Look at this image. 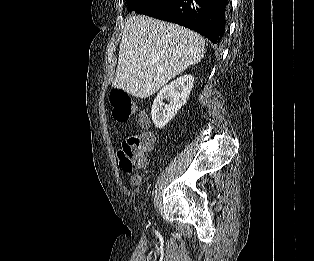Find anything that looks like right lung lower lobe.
Masks as SVG:
<instances>
[{"label":"right lung lower lobe","mask_w":314,"mask_h":261,"mask_svg":"<svg viewBox=\"0 0 314 261\" xmlns=\"http://www.w3.org/2000/svg\"><path fill=\"white\" fill-rule=\"evenodd\" d=\"M229 0H165L145 15L176 23L220 44L225 33Z\"/></svg>","instance_id":"obj_1"}]
</instances>
